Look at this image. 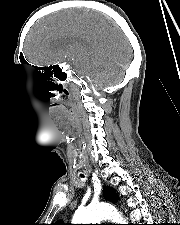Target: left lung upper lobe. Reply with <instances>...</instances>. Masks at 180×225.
<instances>
[{"mask_svg": "<svg viewBox=\"0 0 180 225\" xmlns=\"http://www.w3.org/2000/svg\"><path fill=\"white\" fill-rule=\"evenodd\" d=\"M103 196H104L105 199H107L109 201L115 202V201L118 200V196L115 193V191L112 188H109V187H104ZM53 225H66V224L62 223L61 221H58Z\"/></svg>", "mask_w": 180, "mask_h": 225, "instance_id": "1", "label": "left lung upper lobe"}]
</instances>
